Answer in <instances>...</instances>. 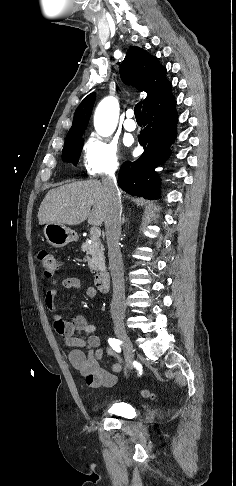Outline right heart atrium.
Listing matches in <instances>:
<instances>
[{
  "mask_svg": "<svg viewBox=\"0 0 236 486\" xmlns=\"http://www.w3.org/2000/svg\"><path fill=\"white\" fill-rule=\"evenodd\" d=\"M83 164L90 176L115 172L120 167L117 143L100 135H90L83 146Z\"/></svg>",
  "mask_w": 236,
  "mask_h": 486,
  "instance_id": "obj_1",
  "label": "right heart atrium"
}]
</instances>
